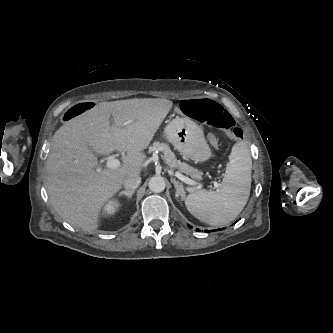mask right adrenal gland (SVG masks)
I'll return each mask as SVG.
<instances>
[{"label":"right adrenal gland","instance_id":"right-adrenal-gland-1","mask_svg":"<svg viewBox=\"0 0 333 333\" xmlns=\"http://www.w3.org/2000/svg\"><path fill=\"white\" fill-rule=\"evenodd\" d=\"M133 194H134V190H123V191H120V192H119V196H120V195H125V196H127L129 199L132 198Z\"/></svg>","mask_w":333,"mask_h":333}]
</instances>
